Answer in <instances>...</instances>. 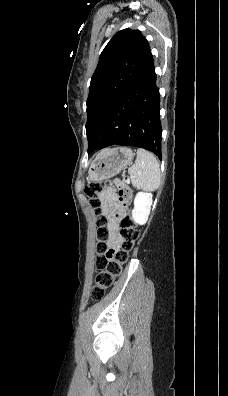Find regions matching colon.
I'll return each instance as SVG.
<instances>
[{"label":"colon","instance_id":"colon-1","mask_svg":"<svg viewBox=\"0 0 228 396\" xmlns=\"http://www.w3.org/2000/svg\"><path fill=\"white\" fill-rule=\"evenodd\" d=\"M111 182H89L84 193L87 196L90 205L97 214V231H96V261L95 266L99 270L96 276L95 284L92 290V298L101 299L107 290H109L117 277L121 274L123 265L129 260V255L139 239V232L134 221L126 216L121 222V241L118 247H111L108 244L110 236L106 227L107 219L101 214L100 194L106 185ZM118 187L119 195L127 198L130 195L129 188L121 181L115 182Z\"/></svg>","mask_w":228,"mask_h":396}]
</instances>
